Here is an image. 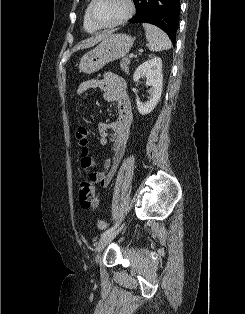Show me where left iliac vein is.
<instances>
[{"label":"left iliac vein","mask_w":245,"mask_h":314,"mask_svg":"<svg viewBox=\"0 0 245 314\" xmlns=\"http://www.w3.org/2000/svg\"><path fill=\"white\" fill-rule=\"evenodd\" d=\"M122 227H123V225L118 227L117 229L113 230L112 232H110L109 234H107L106 236H104L100 239V241L98 242L97 247H96V262H99L101 251L104 249V247L110 241H112L116 237V235H118V233L121 231Z\"/></svg>","instance_id":"obj_1"}]
</instances>
